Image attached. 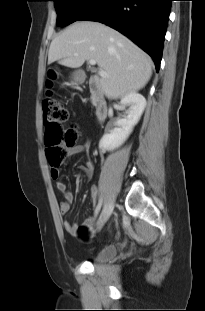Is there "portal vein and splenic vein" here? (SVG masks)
I'll use <instances>...</instances> for the list:
<instances>
[{
  "mask_svg": "<svg viewBox=\"0 0 205 311\" xmlns=\"http://www.w3.org/2000/svg\"><path fill=\"white\" fill-rule=\"evenodd\" d=\"M89 63H90L91 65H95V64H96V61H95V60H89ZM99 75L102 76V77H105V76H107V73H106L104 70H100V71H99Z\"/></svg>",
  "mask_w": 205,
  "mask_h": 311,
  "instance_id": "18ae733b",
  "label": "portal vein and splenic vein"
}]
</instances>
